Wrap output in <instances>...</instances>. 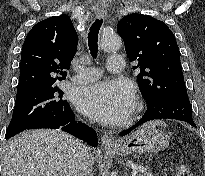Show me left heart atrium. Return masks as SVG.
Listing matches in <instances>:
<instances>
[{"mask_svg":"<svg viewBox=\"0 0 205 176\" xmlns=\"http://www.w3.org/2000/svg\"><path fill=\"white\" fill-rule=\"evenodd\" d=\"M78 110L102 123L123 121L135 106V92L123 80L98 82L81 88L76 95Z\"/></svg>","mask_w":205,"mask_h":176,"instance_id":"39dd6f15","label":"left heart atrium"}]
</instances>
